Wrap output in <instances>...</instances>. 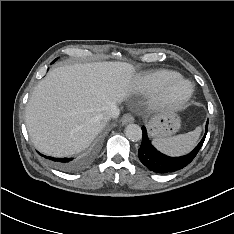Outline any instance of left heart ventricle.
<instances>
[{
  "instance_id": "left-heart-ventricle-1",
  "label": "left heart ventricle",
  "mask_w": 234,
  "mask_h": 234,
  "mask_svg": "<svg viewBox=\"0 0 234 234\" xmlns=\"http://www.w3.org/2000/svg\"><path fill=\"white\" fill-rule=\"evenodd\" d=\"M185 89H186V86H184V85H181V86H179V88H178L179 91H183V90H185Z\"/></svg>"
}]
</instances>
